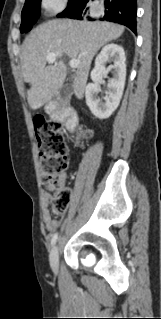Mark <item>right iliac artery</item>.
<instances>
[{
    "instance_id": "82829eb1",
    "label": "right iliac artery",
    "mask_w": 161,
    "mask_h": 319,
    "mask_svg": "<svg viewBox=\"0 0 161 319\" xmlns=\"http://www.w3.org/2000/svg\"><path fill=\"white\" fill-rule=\"evenodd\" d=\"M58 233L52 235L51 245L53 246L57 241Z\"/></svg>"
}]
</instances>
